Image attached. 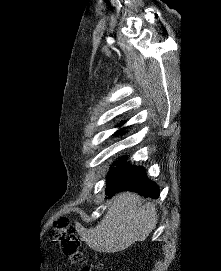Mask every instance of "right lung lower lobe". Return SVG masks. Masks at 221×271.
<instances>
[{
    "label": "right lung lower lobe",
    "mask_w": 221,
    "mask_h": 271,
    "mask_svg": "<svg viewBox=\"0 0 221 271\" xmlns=\"http://www.w3.org/2000/svg\"><path fill=\"white\" fill-rule=\"evenodd\" d=\"M122 191H134L144 197L158 198L159 188L147 178L143 167L126 162L111 169L107 176L106 194L109 198Z\"/></svg>",
    "instance_id": "right-lung-lower-lobe-1"
}]
</instances>
